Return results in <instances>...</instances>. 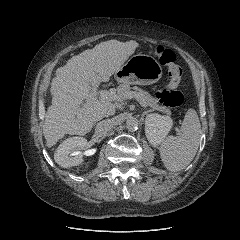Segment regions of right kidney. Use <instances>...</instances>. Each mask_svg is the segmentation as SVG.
<instances>
[{"mask_svg":"<svg viewBox=\"0 0 240 240\" xmlns=\"http://www.w3.org/2000/svg\"><path fill=\"white\" fill-rule=\"evenodd\" d=\"M87 144L84 137H70L64 140L54 153L55 162L63 168L80 165L83 162L82 157L86 153L76 150H84ZM71 155L74 157H71Z\"/></svg>","mask_w":240,"mask_h":240,"instance_id":"obj_1","label":"right kidney"}]
</instances>
